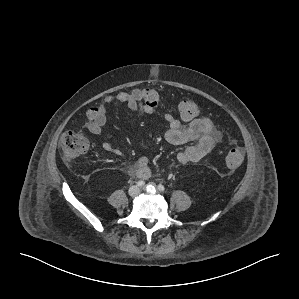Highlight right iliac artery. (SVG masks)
<instances>
[{"instance_id":"82829eb1","label":"right iliac artery","mask_w":299,"mask_h":299,"mask_svg":"<svg viewBox=\"0 0 299 299\" xmlns=\"http://www.w3.org/2000/svg\"><path fill=\"white\" fill-rule=\"evenodd\" d=\"M144 184H145V182H144L143 180H140V181H138V182L136 183V185H137L138 187H142V186H144Z\"/></svg>"}]
</instances>
